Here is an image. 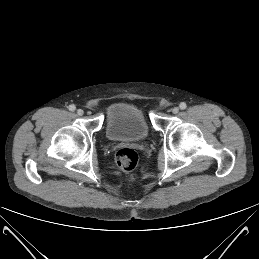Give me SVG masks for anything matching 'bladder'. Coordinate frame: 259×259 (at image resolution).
<instances>
[{
  "instance_id": "31cf9c89",
  "label": "bladder",
  "mask_w": 259,
  "mask_h": 259,
  "mask_svg": "<svg viewBox=\"0 0 259 259\" xmlns=\"http://www.w3.org/2000/svg\"><path fill=\"white\" fill-rule=\"evenodd\" d=\"M105 134L111 141H141L148 137L149 126L137 106L116 102L106 111Z\"/></svg>"
}]
</instances>
